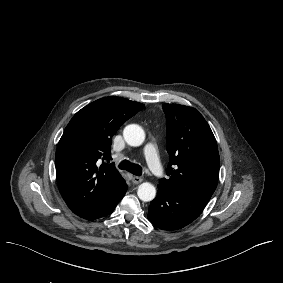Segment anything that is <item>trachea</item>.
<instances>
[{
    "label": "trachea",
    "instance_id": "3493384b",
    "mask_svg": "<svg viewBox=\"0 0 283 283\" xmlns=\"http://www.w3.org/2000/svg\"><path fill=\"white\" fill-rule=\"evenodd\" d=\"M119 168L122 170H126L128 172H131L132 174L136 175V176H141L142 175V168L140 165L132 163L128 160H123L120 164H119Z\"/></svg>",
    "mask_w": 283,
    "mask_h": 283
}]
</instances>
